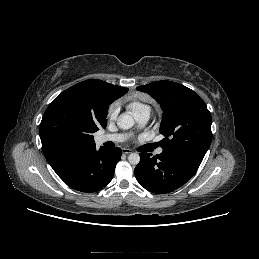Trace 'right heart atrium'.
<instances>
[{
  "instance_id": "obj_1",
  "label": "right heart atrium",
  "mask_w": 259,
  "mask_h": 259,
  "mask_svg": "<svg viewBox=\"0 0 259 259\" xmlns=\"http://www.w3.org/2000/svg\"><path fill=\"white\" fill-rule=\"evenodd\" d=\"M117 113V105L114 103L109 107L108 115L110 118H114Z\"/></svg>"
}]
</instances>
